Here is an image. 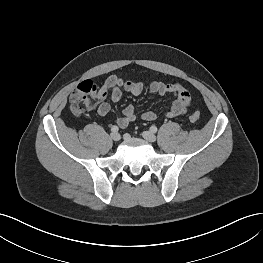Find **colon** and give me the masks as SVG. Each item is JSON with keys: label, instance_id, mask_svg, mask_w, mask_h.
Wrapping results in <instances>:
<instances>
[{"label": "colon", "instance_id": "5ec220e1", "mask_svg": "<svg viewBox=\"0 0 263 263\" xmlns=\"http://www.w3.org/2000/svg\"><path fill=\"white\" fill-rule=\"evenodd\" d=\"M99 95V87L91 80L80 83L71 93L69 98L70 111L74 115H82L85 111L93 106ZM200 118L199 112L195 111L190 114L191 122H196Z\"/></svg>", "mask_w": 263, "mask_h": 263}]
</instances>
